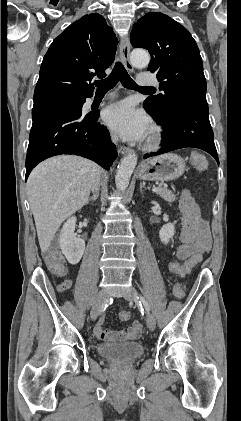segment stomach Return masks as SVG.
I'll list each match as a JSON object with an SVG mask.
<instances>
[{
  "mask_svg": "<svg viewBox=\"0 0 241 421\" xmlns=\"http://www.w3.org/2000/svg\"><path fill=\"white\" fill-rule=\"evenodd\" d=\"M185 171V161L177 154L168 153L144 162L138 177L149 181H170L180 177Z\"/></svg>",
  "mask_w": 241,
  "mask_h": 421,
  "instance_id": "1",
  "label": "stomach"
}]
</instances>
